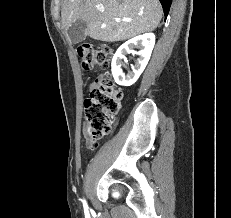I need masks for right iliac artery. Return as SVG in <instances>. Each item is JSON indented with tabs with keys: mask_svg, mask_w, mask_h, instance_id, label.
<instances>
[{
	"mask_svg": "<svg viewBox=\"0 0 231 218\" xmlns=\"http://www.w3.org/2000/svg\"><path fill=\"white\" fill-rule=\"evenodd\" d=\"M83 205H84L85 213H87V212H88V206H87V204H86V201H85V200L83 201Z\"/></svg>",
	"mask_w": 231,
	"mask_h": 218,
	"instance_id": "82829eb1",
	"label": "right iliac artery"
}]
</instances>
